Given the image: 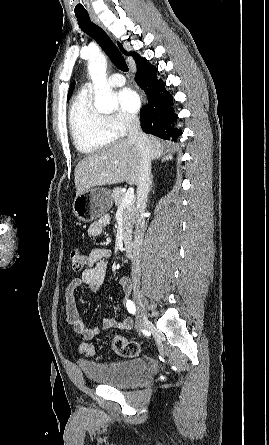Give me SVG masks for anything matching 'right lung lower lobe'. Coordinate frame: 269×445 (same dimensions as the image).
<instances>
[{"label":"right lung lower lobe","mask_w":269,"mask_h":445,"mask_svg":"<svg viewBox=\"0 0 269 445\" xmlns=\"http://www.w3.org/2000/svg\"><path fill=\"white\" fill-rule=\"evenodd\" d=\"M137 64L135 81L148 96V104L141 108V128L145 133L173 141L182 135L175 127L177 114L174 112L173 96L166 90L162 79L157 80V68L144 58Z\"/></svg>","instance_id":"1"}]
</instances>
